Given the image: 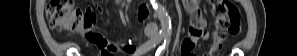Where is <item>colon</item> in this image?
Listing matches in <instances>:
<instances>
[{
	"label": "colon",
	"instance_id": "5ec220e1",
	"mask_svg": "<svg viewBox=\"0 0 297 56\" xmlns=\"http://www.w3.org/2000/svg\"><path fill=\"white\" fill-rule=\"evenodd\" d=\"M211 13L215 18L216 32L214 42L207 56H212L218 51L226 34L236 35L240 32L242 23L237 6L228 0H211ZM46 15L53 29L65 32L91 31L96 22V12L88 8L80 10L74 7V2L69 0H48Z\"/></svg>",
	"mask_w": 297,
	"mask_h": 56
}]
</instances>
